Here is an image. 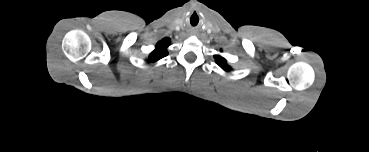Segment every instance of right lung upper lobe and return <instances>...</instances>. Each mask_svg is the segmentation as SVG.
<instances>
[{
	"label": "right lung upper lobe",
	"instance_id": "1",
	"mask_svg": "<svg viewBox=\"0 0 369 152\" xmlns=\"http://www.w3.org/2000/svg\"><path fill=\"white\" fill-rule=\"evenodd\" d=\"M169 45H170V40L168 38H165L162 41H160L157 44L156 49L149 56V62H155V61L167 56L168 51L166 50V48Z\"/></svg>",
	"mask_w": 369,
	"mask_h": 152
}]
</instances>
